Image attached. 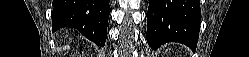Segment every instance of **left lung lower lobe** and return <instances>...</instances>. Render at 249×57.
<instances>
[{
  "label": "left lung lower lobe",
  "mask_w": 249,
  "mask_h": 57,
  "mask_svg": "<svg viewBox=\"0 0 249 57\" xmlns=\"http://www.w3.org/2000/svg\"><path fill=\"white\" fill-rule=\"evenodd\" d=\"M200 20L199 0H149L147 42L153 49L179 42L195 50Z\"/></svg>",
  "instance_id": "1"
}]
</instances>
